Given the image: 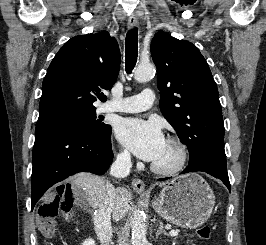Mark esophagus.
Listing matches in <instances>:
<instances>
[{
    "label": "esophagus",
    "mask_w": 266,
    "mask_h": 245,
    "mask_svg": "<svg viewBox=\"0 0 266 245\" xmlns=\"http://www.w3.org/2000/svg\"><path fill=\"white\" fill-rule=\"evenodd\" d=\"M138 24V19L136 16H131L129 17V20H128V28H134L136 27ZM132 187L133 189L140 195H145L146 192H145V185H144V182L138 178L134 179L132 181Z\"/></svg>",
    "instance_id": "1"
}]
</instances>
